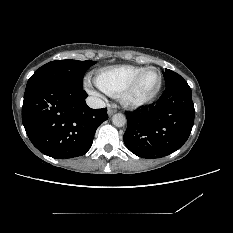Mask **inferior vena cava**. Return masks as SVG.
I'll return each instance as SVG.
<instances>
[{
  "instance_id": "obj_1",
  "label": "inferior vena cava",
  "mask_w": 233,
  "mask_h": 233,
  "mask_svg": "<svg viewBox=\"0 0 233 233\" xmlns=\"http://www.w3.org/2000/svg\"><path fill=\"white\" fill-rule=\"evenodd\" d=\"M86 103L91 108H104L105 102L101 100L100 98L90 96L86 99Z\"/></svg>"
}]
</instances>
